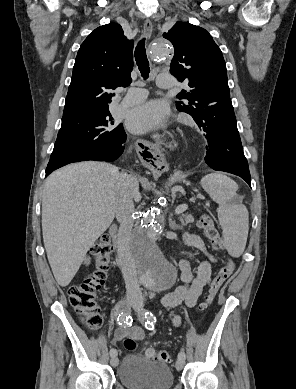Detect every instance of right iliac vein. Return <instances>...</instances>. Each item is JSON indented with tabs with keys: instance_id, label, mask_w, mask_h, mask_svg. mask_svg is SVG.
I'll return each instance as SVG.
<instances>
[{
	"instance_id": "1",
	"label": "right iliac vein",
	"mask_w": 296,
	"mask_h": 389,
	"mask_svg": "<svg viewBox=\"0 0 296 389\" xmlns=\"http://www.w3.org/2000/svg\"><path fill=\"white\" fill-rule=\"evenodd\" d=\"M134 302H135V299H134L133 297L129 296V297H128V302H127L128 306H129V305H133ZM110 362H111V365H112L113 367H116V366L118 365V363H119V359H118L117 356H112Z\"/></svg>"
}]
</instances>
